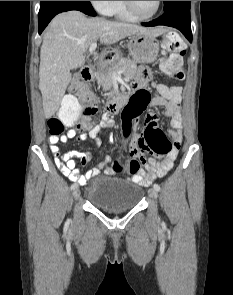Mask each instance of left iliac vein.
<instances>
[{
  "mask_svg": "<svg viewBox=\"0 0 233 295\" xmlns=\"http://www.w3.org/2000/svg\"><path fill=\"white\" fill-rule=\"evenodd\" d=\"M148 194L151 198H153L154 200H157V197H158L157 190H155L154 188H150L148 191Z\"/></svg>",
  "mask_w": 233,
  "mask_h": 295,
  "instance_id": "left-iliac-vein-1",
  "label": "left iliac vein"
}]
</instances>
